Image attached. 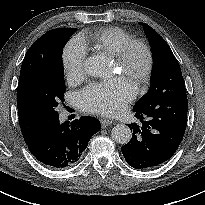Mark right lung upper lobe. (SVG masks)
<instances>
[{"label": "right lung upper lobe", "mask_w": 205, "mask_h": 205, "mask_svg": "<svg viewBox=\"0 0 205 205\" xmlns=\"http://www.w3.org/2000/svg\"><path fill=\"white\" fill-rule=\"evenodd\" d=\"M59 30L61 29L50 30L37 39L27 51L21 66L17 88V107L19 124L25 142L28 141L31 135L45 122L39 119L27 105L24 98V85Z\"/></svg>", "instance_id": "obj_1"}]
</instances>
